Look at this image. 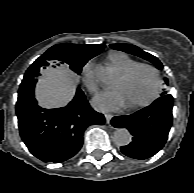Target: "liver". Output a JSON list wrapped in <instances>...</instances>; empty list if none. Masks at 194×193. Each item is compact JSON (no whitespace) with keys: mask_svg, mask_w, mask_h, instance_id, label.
Masks as SVG:
<instances>
[{"mask_svg":"<svg viewBox=\"0 0 194 193\" xmlns=\"http://www.w3.org/2000/svg\"><path fill=\"white\" fill-rule=\"evenodd\" d=\"M75 93V78L63 68L59 71L49 70L41 77L36 87V98L39 105L56 108L67 104Z\"/></svg>","mask_w":194,"mask_h":193,"instance_id":"6515ba94","label":"liver"}]
</instances>
